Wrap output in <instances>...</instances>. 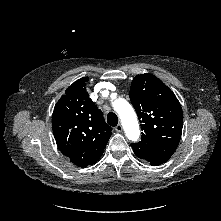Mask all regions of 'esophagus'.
Segmentation results:
<instances>
[{
    "instance_id": "obj_1",
    "label": "esophagus",
    "mask_w": 221,
    "mask_h": 221,
    "mask_svg": "<svg viewBox=\"0 0 221 221\" xmlns=\"http://www.w3.org/2000/svg\"><path fill=\"white\" fill-rule=\"evenodd\" d=\"M115 130H116V132H118V133L122 132V131H123V126H122V124H118V125L115 127Z\"/></svg>"
}]
</instances>
